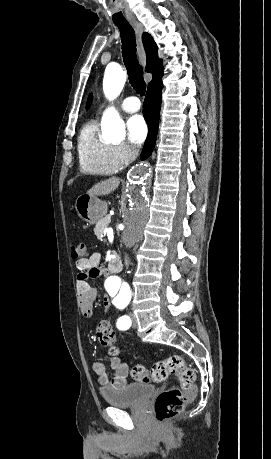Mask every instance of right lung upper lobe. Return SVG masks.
Returning a JSON list of instances; mask_svg holds the SVG:
<instances>
[{
    "mask_svg": "<svg viewBox=\"0 0 271 459\" xmlns=\"http://www.w3.org/2000/svg\"><path fill=\"white\" fill-rule=\"evenodd\" d=\"M143 45L146 52L147 63L145 70L153 73L152 82L162 76L163 69L161 68L162 61L158 58V48L152 36L148 33H143ZM150 84V83H149Z\"/></svg>",
    "mask_w": 271,
    "mask_h": 459,
    "instance_id": "cb5924a9",
    "label": "right lung upper lobe"
}]
</instances>
